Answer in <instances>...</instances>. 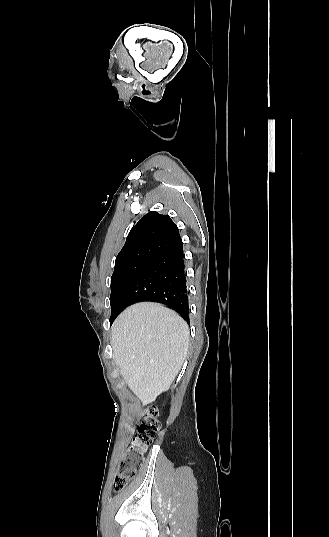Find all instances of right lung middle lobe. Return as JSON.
Returning a JSON list of instances; mask_svg holds the SVG:
<instances>
[{"mask_svg":"<svg viewBox=\"0 0 329 537\" xmlns=\"http://www.w3.org/2000/svg\"><path fill=\"white\" fill-rule=\"evenodd\" d=\"M149 264L150 261H134L114 270L111 277L110 320L118 314L124 293Z\"/></svg>","mask_w":329,"mask_h":537,"instance_id":"dd1d6c3e","label":"right lung middle lobe"}]
</instances>
